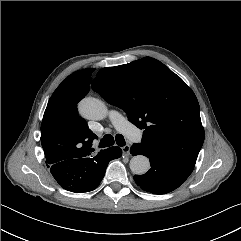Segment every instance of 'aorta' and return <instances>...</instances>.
Here are the masks:
<instances>
[{
    "mask_svg": "<svg viewBox=\"0 0 241 241\" xmlns=\"http://www.w3.org/2000/svg\"><path fill=\"white\" fill-rule=\"evenodd\" d=\"M78 108L82 116L91 120H102L108 113V108L104 102L93 97L82 99ZM129 165L131 171L136 175H143L150 169L149 159L144 155L132 157Z\"/></svg>",
    "mask_w": 241,
    "mask_h": 241,
    "instance_id": "1",
    "label": "aorta"
}]
</instances>
